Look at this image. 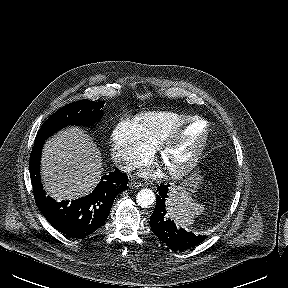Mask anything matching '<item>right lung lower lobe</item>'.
I'll use <instances>...</instances> for the list:
<instances>
[{
    "label": "right lung lower lobe",
    "mask_w": 288,
    "mask_h": 288,
    "mask_svg": "<svg viewBox=\"0 0 288 288\" xmlns=\"http://www.w3.org/2000/svg\"><path fill=\"white\" fill-rule=\"evenodd\" d=\"M43 143H35L30 155V177L35 202L47 221L59 232L74 238L86 237L104 224L114 199L127 189L128 177L115 170L104 175L89 195L72 201L56 202L46 196L42 189L39 165Z\"/></svg>",
    "instance_id": "98d812e1"
}]
</instances>
